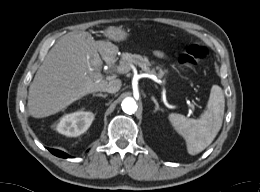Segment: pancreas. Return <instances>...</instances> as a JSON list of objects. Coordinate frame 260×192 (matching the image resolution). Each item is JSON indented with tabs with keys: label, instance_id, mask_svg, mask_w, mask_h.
<instances>
[{
	"label": "pancreas",
	"instance_id": "1",
	"mask_svg": "<svg viewBox=\"0 0 260 192\" xmlns=\"http://www.w3.org/2000/svg\"><path fill=\"white\" fill-rule=\"evenodd\" d=\"M130 63L138 65L142 68L143 71L155 74V69H151L152 63L149 62L147 58H143L141 55L131 54V53H124L122 54V59L120 64L130 65ZM163 72V71H161Z\"/></svg>",
	"mask_w": 260,
	"mask_h": 192
}]
</instances>
